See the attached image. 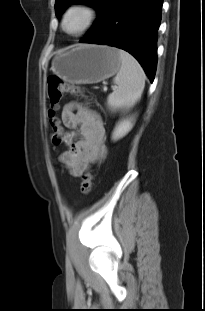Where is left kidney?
Segmentation results:
<instances>
[{
	"instance_id": "obj_1",
	"label": "left kidney",
	"mask_w": 205,
	"mask_h": 311,
	"mask_svg": "<svg viewBox=\"0 0 205 311\" xmlns=\"http://www.w3.org/2000/svg\"><path fill=\"white\" fill-rule=\"evenodd\" d=\"M133 119H126L121 121L114 130L113 139L118 140L125 136L133 127Z\"/></svg>"
}]
</instances>
